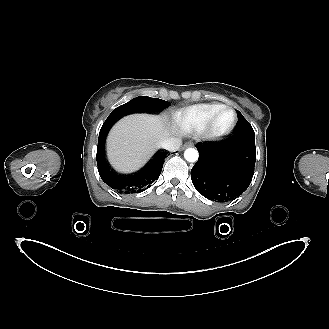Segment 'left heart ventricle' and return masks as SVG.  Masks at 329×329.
<instances>
[{
    "instance_id": "obj_1",
    "label": "left heart ventricle",
    "mask_w": 329,
    "mask_h": 329,
    "mask_svg": "<svg viewBox=\"0 0 329 329\" xmlns=\"http://www.w3.org/2000/svg\"><path fill=\"white\" fill-rule=\"evenodd\" d=\"M234 115L231 111H224L217 119L215 127L217 130L223 131L231 126Z\"/></svg>"
}]
</instances>
